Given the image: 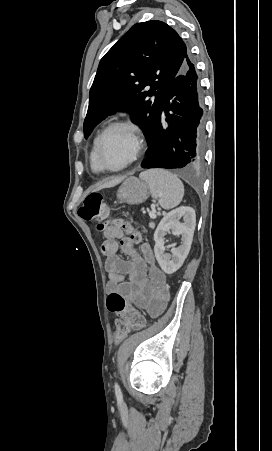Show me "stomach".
I'll return each instance as SVG.
<instances>
[{"label":"stomach","instance_id":"0dacf381","mask_svg":"<svg viewBox=\"0 0 272 451\" xmlns=\"http://www.w3.org/2000/svg\"><path fill=\"white\" fill-rule=\"evenodd\" d=\"M149 186L146 182L129 176L117 192L119 204H142L149 198Z\"/></svg>","mask_w":272,"mask_h":451}]
</instances>
